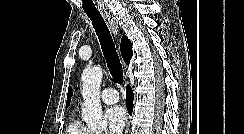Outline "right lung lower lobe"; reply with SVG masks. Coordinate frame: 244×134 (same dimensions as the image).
Wrapping results in <instances>:
<instances>
[{
	"instance_id": "1",
	"label": "right lung lower lobe",
	"mask_w": 244,
	"mask_h": 134,
	"mask_svg": "<svg viewBox=\"0 0 244 134\" xmlns=\"http://www.w3.org/2000/svg\"><path fill=\"white\" fill-rule=\"evenodd\" d=\"M133 99H134V95H133L132 89L130 86H127V88H126V107H127V110L130 115L133 110Z\"/></svg>"
}]
</instances>
